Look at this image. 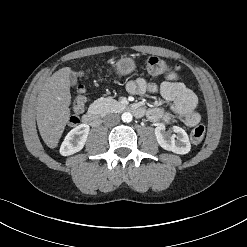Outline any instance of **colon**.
Segmentation results:
<instances>
[{
	"instance_id": "1",
	"label": "colon",
	"mask_w": 247,
	"mask_h": 247,
	"mask_svg": "<svg viewBox=\"0 0 247 247\" xmlns=\"http://www.w3.org/2000/svg\"><path fill=\"white\" fill-rule=\"evenodd\" d=\"M145 68L150 74H162V73H172L178 70L177 66H172L162 60L159 57L151 56L148 57L145 61ZM85 88L82 85L77 87V96L73 103L74 115L71 117V123L76 124L78 123L77 115L82 111L85 103V96H84ZM205 136V127L202 124L197 125L193 128L190 134L191 141L194 144L200 143Z\"/></svg>"
}]
</instances>
